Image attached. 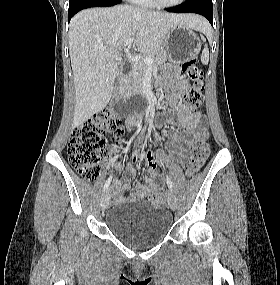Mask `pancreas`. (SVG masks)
Instances as JSON below:
<instances>
[{
	"instance_id": "pancreas-1",
	"label": "pancreas",
	"mask_w": 280,
	"mask_h": 285,
	"mask_svg": "<svg viewBox=\"0 0 280 285\" xmlns=\"http://www.w3.org/2000/svg\"><path fill=\"white\" fill-rule=\"evenodd\" d=\"M146 57H151L153 59V63L151 64L153 69L157 68L167 60V54L161 49L152 53L144 54L139 61L134 63L132 72L125 80L124 88L126 94H136L142 92L143 79L146 71L148 70V65L144 63V59Z\"/></svg>"
}]
</instances>
